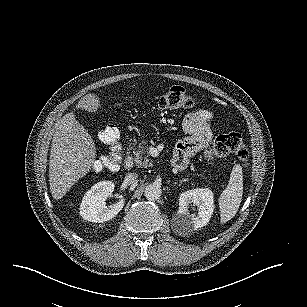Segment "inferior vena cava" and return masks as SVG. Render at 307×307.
Wrapping results in <instances>:
<instances>
[{
  "label": "inferior vena cava",
  "instance_id": "1",
  "mask_svg": "<svg viewBox=\"0 0 307 307\" xmlns=\"http://www.w3.org/2000/svg\"><path fill=\"white\" fill-rule=\"evenodd\" d=\"M138 174L136 173H127L124 179V182L127 185H131L137 182Z\"/></svg>",
  "mask_w": 307,
  "mask_h": 307
}]
</instances>
